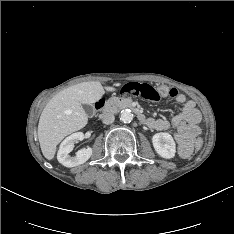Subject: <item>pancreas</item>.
<instances>
[{
  "label": "pancreas",
  "mask_w": 234,
  "mask_h": 234,
  "mask_svg": "<svg viewBox=\"0 0 234 234\" xmlns=\"http://www.w3.org/2000/svg\"><path fill=\"white\" fill-rule=\"evenodd\" d=\"M115 103H116L115 99H114V98H111V99L107 102V104H106V106H105V110H111V109L113 108V106L115 105Z\"/></svg>",
  "instance_id": "obj_1"
}]
</instances>
